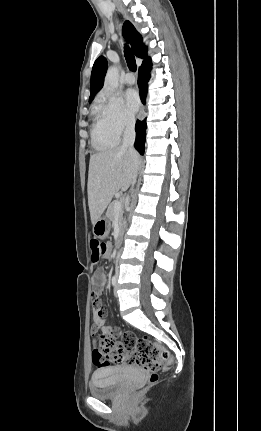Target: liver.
<instances>
[{
	"instance_id": "6515ba94",
	"label": "liver",
	"mask_w": 261,
	"mask_h": 431,
	"mask_svg": "<svg viewBox=\"0 0 261 431\" xmlns=\"http://www.w3.org/2000/svg\"><path fill=\"white\" fill-rule=\"evenodd\" d=\"M139 166V154L122 147L90 157L87 192L92 224L101 217L116 192L129 188Z\"/></svg>"
}]
</instances>
